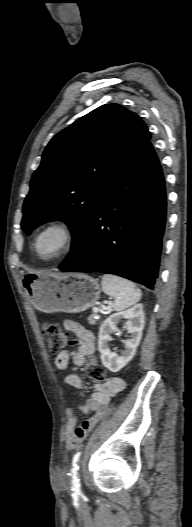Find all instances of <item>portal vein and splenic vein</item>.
Instances as JSON below:
<instances>
[{"label":"portal vein and splenic vein","mask_w":192,"mask_h":527,"mask_svg":"<svg viewBox=\"0 0 192 527\" xmlns=\"http://www.w3.org/2000/svg\"><path fill=\"white\" fill-rule=\"evenodd\" d=\"M99 311L98 308H93V312L97 313Z\"/></svg>","instance_id":"portal-vein-and-splenic-vein-1"}]
</instances>
